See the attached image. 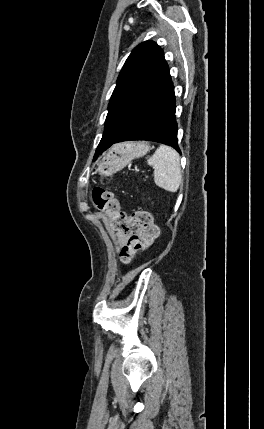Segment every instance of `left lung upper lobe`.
Segmentation results:
<instances>
[{
  "mask_svg": "<svg viewBox=\"0 0 264 429\" xmlns=\"http://www.w3.org/2000/svg\"><path fill=\"white\" fill-rule=\"evenodd\" d=\"M167 69L164 53L155 42L145 41L134 48L118 76L97 150L112 145L120 137L140 102Z\"/></svg>",
  "mask_w": 264,
  "mask_h": 429,
  "instance_id": "obj_1",
  "label": "left lung upper lobe"
}]
</instances>
